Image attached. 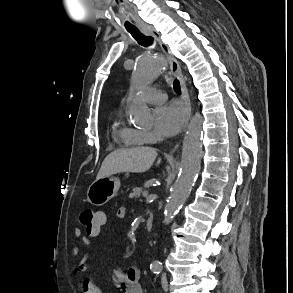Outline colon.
Listing matches in <instances>:
<instances>
[{
	"instance_id": "5ec220e1",
	"label": "colon",
	"mask_w": 293,
	"mask_h": 293,
	"mask_svg": "<svg viewBox=\"0 0 293 293\" xmlns=\"http://www.w3.org/2000/svg\"><path fill=\"white\" fill-rule=\"evenodd\" d=\"M80 221L85 229L89 232L98 230L101 225V218L99 217L98 212H95L91 209H84L81 212ZM91 292L99 293L100 288L94 286Z\"/></svg>"
}]
</instances>
